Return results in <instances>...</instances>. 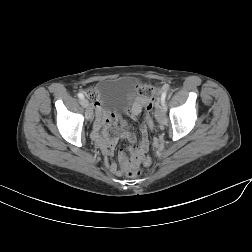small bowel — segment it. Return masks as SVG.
<instances>
[{
	"mask_svg": "<svg viewBox=\"0 0 252 252\" xmlns=\"http://www.w3.org/2000/svg\"><path fill=\"white\" fill-rule=\"evenodd\" d=\"M167 86H164L166 88ZM151 99L147 96H138L131 100L127 109L129 116L137 120L142 110L146 108ZM96 112V121L93 125L92 139L102 148L107 158V166L109 170L117 175H122L130 166L144 163L150 164V159L145 157L149 147V130L152 125L145 123L140 126V140L137 141L135 133L130 128L128 122L121 118L117 111L105 110L100 102L94 105ZM120 139L128 142V153L119 151L118 164L110 161L109 158L113 154V149Z\"/></svg>",
	"mask_w": 252,
	"mask_h": 252,
	"instance_id": "small-bowel-1",
	"label": "small bowel"
}]
</instances>
